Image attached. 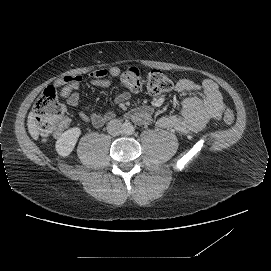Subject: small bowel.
Returning <instances> with one entry per match:
<instances>
[{"label": "small bowel", "mask_w": 271, "mask_h": 271, "mask_svg": "<svg viewBox=\"0 0 271 271\" xmlns=\"http://www.w3.org/2000/svg\"><path fill=\"white\" fill-rule=\"evenodd\" d=\"M120 74L118 67H111L109 70H96L91 73V85L107 88L112 80L107 76L117 77ZM80 75H67L57 79L54 86L60 90V96L67 103L75 107L79 103L78 90L82 84ZM177 93H187L188 96L180 102L179 111L167 114L157 119L156 125L163 129H174L175 131L187 134L202 130L210 121L222 117L225 104L218 85L212 80H205L198 84L190 79H181L175 86ZM130 98L129 91L119 93L115 101L124 103ZM113 118V113H81L83 124L92 123L95 127H101ZM132 118L140 124H147L152 118V109L141 107L132 113Z\"/></svg>", "instance_id": "c3829d8e"}]
</instances>
